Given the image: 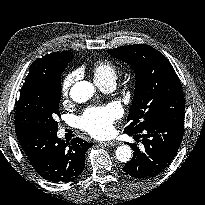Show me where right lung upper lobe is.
I'll list each match as a JSON object with an SVG mask.
<instances>
[{
  "label": "right lung upper lobe",
  "mask_w": 205,
  "mask_h": 205,
  "mask_svg": "<svg viewBox=\"0 0 205 205\" xmlns=\"http://www.w3.org/2000/svg\"><path fill=\"white\" fill-rule=\"evenodd\" d=\"M72 58V53L68 51L64 53L55 52L46 54L42 58L33 62L29 68V73L25 81L33 78L49 76L60 68H63L64 66L66 67ZM16 133L20 134L21 132Z\"/></svg>",
  "instance_id": "cb5924a9"
}]
</instances>
